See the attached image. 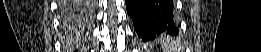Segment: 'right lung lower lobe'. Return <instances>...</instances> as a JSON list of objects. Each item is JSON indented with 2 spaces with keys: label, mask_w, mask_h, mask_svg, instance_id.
Instances as JSON below:
<instances>
[{
  "label": "right lung lower lobe",
  "mask_w": 261,
  "mask_h": 52,
  "mask_svg": "<svg viewBox=\"0 0 261 52\" xmlns=\"http://www.w3.org/2000/svg\"><path fill=\"white\" fill-rule=\"evenodd\" d=\"M64 15L66 17H72L75 13L79 12V4L74 3V2H64Z\"/></svg>",
  "instance_id": "98d812e1"
}]
</instances>
